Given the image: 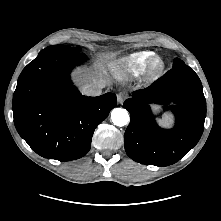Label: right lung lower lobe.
Returning a JSON list of instances; mask_svg holds the SVG:
<instances>
[{
  "label": "right lung lower lobe",
  "instance_id": "right-lung-lower-lobe-1",
  "mask_svg": "<svg viewBox=\"0 0 221 221\" xmlns=\"http://www.w3.org/2000/svg\"><path fill=\"white\" fill-rule=\"evenodd\" d=\"M82 53L41 51L19 76L13 95L15 127L39 155L69 161L84 156L92 135L116 104V95L87 97L72 85L70 72Z\"/></svg>",
  "mask_w": 221,
  "mask_h": 221
}]
</instances>
